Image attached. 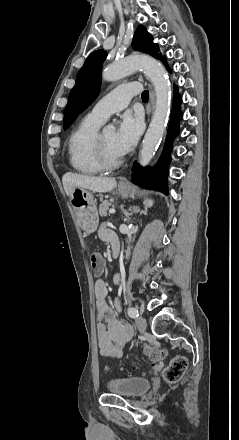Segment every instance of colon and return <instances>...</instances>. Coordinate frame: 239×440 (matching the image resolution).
<instances>
[{"label":"colon","instance_id":"1","mask_svg":"<svg viewBox=\"0 0 239 440\" xmlns=\"http://www.w3.org/2000/svg\"><path fill=\"white\" fill-rule=\"evenodd\" d=\"M90 262L94 274L99 275L103 271V262L98 252H92ZM147 353L152 359V370L154 372L160 369V360L164 356L163 351L156 348H147ZM187 368V360L183 356L174 357L168 366L163 370V377L167 382L177 381Z\"/></svg>","mask_w":239,"mask_h":440}]
</instances>
